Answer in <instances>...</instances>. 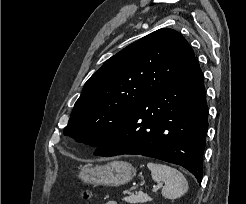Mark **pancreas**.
<instances>
[{
	"label": "pancreas",
	"instance_id": "pancreas-1",
	"mask_svg": "<svg viewBox=\"0 0 246 204\" xmlns=\"http://www.w3.org/2000/svg\"><path fill=\"white\" fill-rule=\"evenodd\" d=\"M150 200L151 198L144 193H137L135 195L126 196L123 198V201L128 202L130 204L145 203Z\"/></svg>",
	"mask_w": 246,
	"mask_h": 204
}]
</instances>
